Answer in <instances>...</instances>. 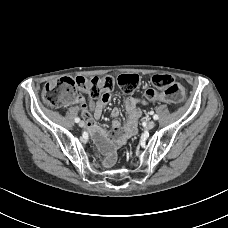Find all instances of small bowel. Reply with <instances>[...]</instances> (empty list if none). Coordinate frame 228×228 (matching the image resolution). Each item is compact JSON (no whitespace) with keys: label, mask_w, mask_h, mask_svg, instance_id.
<instances>
[{"label":"small bowel","mask_w":228,"mask_h":228,"mask_svg":"<svg viewBox=\"0 0 228 228\" xmlns=\"http://www.w3.org/2000/svg\"><path fill=\"white\" fill-rule=\"evenodd\" d=\"M110 100V94L105 93L95 101H90L87 105L82 100L80 103L83 105V118L87 125V130L90 132L97 142L99 147L105 153L107 157V164H112L114 161L115 151L121 147L128 138L136 133L137 121L141 116V111L137 107L139 103L147 105L148 99H136L134 97H128L124 101L125 111L127 114L126 124L121 127L118 120H113L111 129L105 131L99 127L95 119L101 117L104 107ZM119 109L113 108L111 111L112 117L116 118L119 116Z\"/></svg>","instance_id":"1"}]
</instances>
